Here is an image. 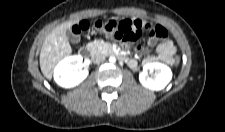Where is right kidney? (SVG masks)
<instances>
[{
  "label": "right kidney",
  "mask_w": 225,
  "mask_h": 132,
  "mask_svg": "<svg viewBox=\"0 0 225 132\" xmlns=\"http://www.w3.org/2000/svg\"><path fill=\"white\" fill-rule=\"evenodd\" d=\"M82 57L73 55L62 59L54 70V80L63 88H72L80 84L89 74L82 69Z\"/></svg>",
  "instance_id": "1"
}]
</instances>
